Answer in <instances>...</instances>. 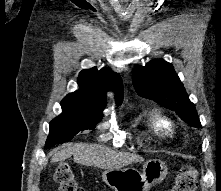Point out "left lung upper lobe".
Returning <instances> with one entry per match:
<instances>
[{
  "label": "left lung upper lobe",
  "instance_id": "obj_1",
  "mask_svg": "<svg viewBox=\"0 0 221 191\" xmlns=\"http://www.w3.org/2000/svg\"><path fill=\"white\" fill-rule=\"evenodd\" d=\"M134 87L140 96L177 112L190 126L201 127L196 108L171 63L161 59L138 66Z\"/></svg>",
  "mask_w": 221,
  "mask_h": 191
}]
</instances>
